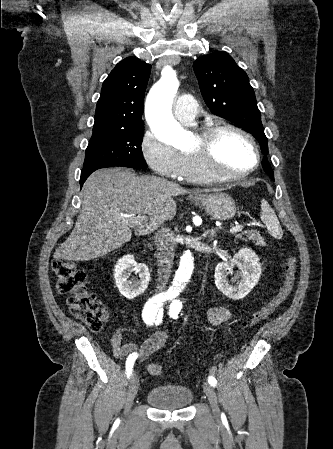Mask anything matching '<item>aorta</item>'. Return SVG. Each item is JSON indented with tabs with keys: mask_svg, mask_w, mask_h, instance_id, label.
I'll return each mask as SVG.
<instances>
[{
	"mask_svg": "<svg viewBox=\"0 0 333 449\" xmlns=\"http://www.w3.org/2000/svg\"><path fill=\"white\" fill-rule=\"evenodd\" d=\"M178 87L179 82L175 71L171 66H166L162 71L161 79L149 92L145 116L151 131L158 139L178 149H185L189 146L190 136L172 115V103ZM193 267V255L190 250H185L181 255L172 283V291L175 295L185 289L191 278Z\"/></svg>",
	"mask_w": 333,
	"mask_h": 449,
	"instance_id": "762f6f07",
	"label": "aorta"
}]
</instances>
